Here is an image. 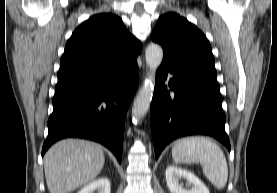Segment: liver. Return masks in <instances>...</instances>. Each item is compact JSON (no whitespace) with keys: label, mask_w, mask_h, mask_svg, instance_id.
<instances>
[{"label":"liver","mask_w":277,"mask_h":193,"mask_svg":"<svg viewBox=\"0 0 277 193\" xmlns=\"http://www.w3.org/2000/svg\"><path fill=\"white\" fill-rule=\"evenodd\" d=\"M105 162L103 148L88 140L65 139L44 156V172L50 193H69L98 176Z\"/></svg>","instance_id":"6515ba94"}]
</instances>
